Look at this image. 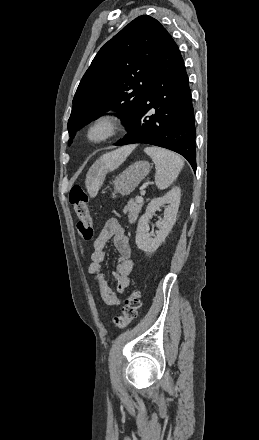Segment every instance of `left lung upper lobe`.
I'll use <instances>...</instances> for the list:
<instances>
[{
    "label": "left lung upper lobe",
    "instance_id": "1",
    "mask_svg": "<svg viewBox=\"0 0 259 440\" xmlns=\"http://www.w3.org/2000/svg\"><path fill=\"white\" fill-rule=\"evenodd\" d=\"M168 36L159 21L142 15L99 50L75 93L70 137L108 109L120 111L122 123L131 125Z\"/></svg>",
    "mask_w": 259,
    "mask_h": 440
}]
</instances>
